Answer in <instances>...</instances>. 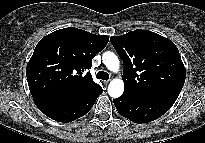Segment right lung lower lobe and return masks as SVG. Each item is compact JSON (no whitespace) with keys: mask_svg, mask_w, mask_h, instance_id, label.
Instances as JSON below:
<instances>
[{"mask_svg":"<svg viewBox=\"0 0 205 143\" xmlns=\"http://www.w3.org/2000/svg\"><path fill=\"white\" fill-rule=\"evenodd\" d=\"M102 92L103 89L99 86L70 102H50L36 99L34 101L36 106L46 116L55 121L66 123L74 121L87 114Z\"/></svg>","mask_w":205,"mask_h":143,"instance_id":"1","label":"right lung lower lobe"}]
</instances>
